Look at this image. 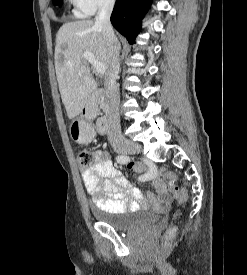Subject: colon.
I'll return each mask as SVG.
<instances>
[{
  "mask_svg": "<svg viewBox=\"0 0 247 275\" xmlns=\"http://www.w3.org/2000/svg\"><path fill=\"white\" fill-rule=\"evenodd\" d=\"M94 161L92 154L87 151L83 150L78 155V164L82 168H87L90 166ZM136 164L130 163L128 166L133 168ZM163 182L167 185L168 190L170 193L180 202L183 203L186 200L187 192L184 188H180L175 185V181L177 180V175L173 172H166L161 176ZM177 228L175 226L170 227L166 234H165V241H170L176 234Z\"/></svg>",
  "mask_w": 247,
  "mask_h": 275,
  "instance_id": "colon-1",
  "label": "colon"
}]
</instances>
